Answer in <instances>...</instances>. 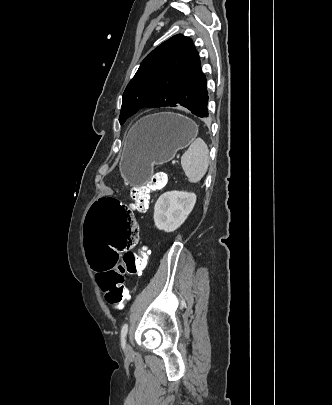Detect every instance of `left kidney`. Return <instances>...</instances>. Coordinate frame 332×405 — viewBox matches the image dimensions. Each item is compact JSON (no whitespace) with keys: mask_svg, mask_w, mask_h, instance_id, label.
<instances>
[{"mask_svg":"<svg viewBox=\"0 0 332 405\" xmlns=\"http://www.w3.org/2000/svg\"><path fill=\"white\" fill-rule=\"evenodd\" d=\"M196 195L183 191L162 194L154 208V223L157 229L172 232L178 229L194 208Z\"/></svg>","mask_w":332,"mask_h":405,"instance_id":"5707ae66","label":"left kidney"}]
</instances>
